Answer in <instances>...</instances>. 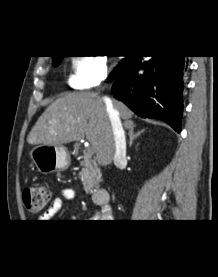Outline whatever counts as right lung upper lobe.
Listing matches in <instances>:
<instances>
[{
  "label": "right lung upper lobe",
  "mask_w": 218,
  "mask_h": 277,
  "mask_svg": "<svg viewBox=\"0 0 218 277\" xmlns=\"http://www.w3.org/2000/svg\"><path fill=\"white\" fill-rule=\"evenodd\" d=\"M59 57H61V56H53V60H54V59H57V58H59Z\"/></svg>",
  "instance_id": "1"
}]
</instances>
